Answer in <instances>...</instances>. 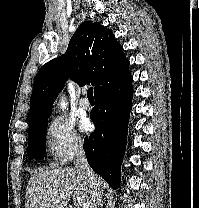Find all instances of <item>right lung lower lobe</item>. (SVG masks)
Instances as JSON below:
<instances>
[{
	"mask_svg": "<svg viewBox=\"0 0 199 208\" xmlns=\"http://www.w3.org/2000/svg\"><path fill=\"white\" fill-rule=\"evenodd\" d=\"M132 97L130 74L97 92V103L90 113L96 129L84 140L89 165L115 189L120 186V169L126 149Z\"/></svg>",
	"mask_w": 199,
	"mask_h": 208,
	"instance_id": "obj_1",
	"label": "right lung lower lobe"
}]
</instances>
